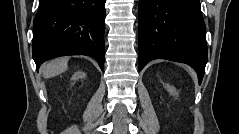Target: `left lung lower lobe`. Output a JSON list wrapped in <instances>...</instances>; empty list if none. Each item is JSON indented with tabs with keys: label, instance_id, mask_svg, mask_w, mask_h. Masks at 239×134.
Returning a JSON list of instances; mask_svg holds the SVG:
<instances>
[{
	"label": "left lung lower lobe",
	"instance_id": "0a47b994",
	"mask_svg": "<svg viewBox=\"0 0 239 134\" xmlns=\"http://www.w3.org/2000/svg\"><path fill=\"white\" fill-rule=\"evenodd\" d=\"M139 71L153 59L186 63L202 81L207 63L199 0H140Z\"/></svg>",
	"mask_w": 239,
	"mask_h": 134
}]
</instances>
